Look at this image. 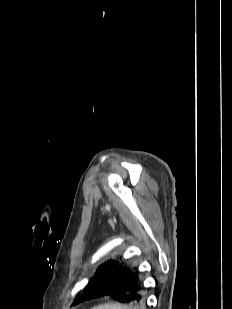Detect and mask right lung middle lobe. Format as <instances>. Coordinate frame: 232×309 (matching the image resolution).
Returning a JSON list of instances; mask_svg holds the SVG:
<instances>
[{
	"label": "right lung middle lobe",
	"instance_id": "dd1d6c3e",
	"mask_svg": "<svg viewBox=\"0 0 232 309\" xmlns=\"http://www.w3.org/2000/svg\"><path fill=\"white\" fill-rule=\"evenodd\" d=\"M126 277H133L130 273H118L117 271L107 270L97 272V274L92 278L88 285L84 288V291L81 295L77 296L76 301L74 304L81 303L87 300V292L88 290L92 289L93 287H100L103 285L113 284L116 280L123 279Z\"/></svg>",
	"mask_w": 232,
	"mask_h": 309
}]
</instances>
